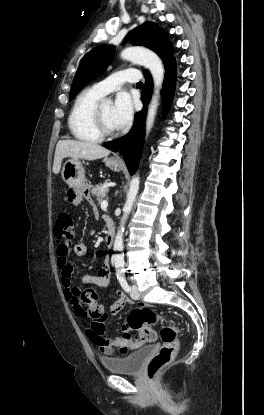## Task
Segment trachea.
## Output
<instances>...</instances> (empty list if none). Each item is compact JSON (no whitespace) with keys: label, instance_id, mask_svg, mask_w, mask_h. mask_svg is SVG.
<instances>
[{"label":"trachea","instance_id":"trachea-1","mask_svg":"<svg viewBox=\"0 0 264 415\" xmlns=\"http://www.w3.org/2000/svg\"><path fill=\"white\" fill-rule=\"evenodd\" d=\"M137 86H143V83L140 81L137 83Z\"/></svg>","mask_w":264,"mask_h":415}]
</instances>
